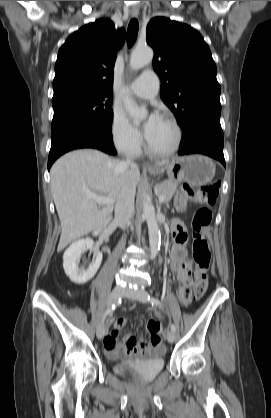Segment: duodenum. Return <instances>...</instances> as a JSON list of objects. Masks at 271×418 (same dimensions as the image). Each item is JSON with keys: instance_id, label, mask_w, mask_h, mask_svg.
I'll return each mask as SVG.
<instances>
[{"instance_id": "1", "label": "duodenum", "mask_w": 271, "mask_h": 418, "mask_svg": "<svg viewBox=\"0 0 271 418\" xmlns=\"http://www.w3.org/2000/svg\"><path fill=\"white\" fill-rule=\"evenodd\" d=\"M114 229H115V227H114L113 224L110 223V224L107 225V227L104 230V234H105L106 238H110L112 236V234L114 232Z\"/></svg>"}]
</instances>
